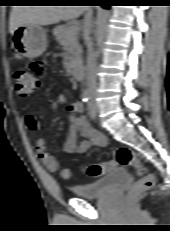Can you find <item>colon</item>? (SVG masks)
Returning a JSON list of instances; mask_svg holds the SVG:
<instances>
[{
  "label": "colon",
  "mask_w": 170,
  "mask_h": 231,
  "mask_svg": "<svg viewBox=\"0 0 170 231\" xmlns=\"http://www.w3.org/2000/svg\"><path fill=\"white\" fill-rule=\"evenodd\" d=\"M14 88L16 93L21 97H27L33 93L39 86L38 81L32 73L26 68H17L13 73ZM116 165L131 166L137 170L139 178L129 191V197L134 198L139 193L151 188L155 179L152 174L147 173L141 164L136 153L128 147L116 148L113 152V158L109 162L103 164H92L83 170L92 177H99L106 171L113 169ZM59 175L64 180L72 177V172L67 167L59 169Z\"/></svg>",
  "instance_id": "obj_1"
}]
</instances>
